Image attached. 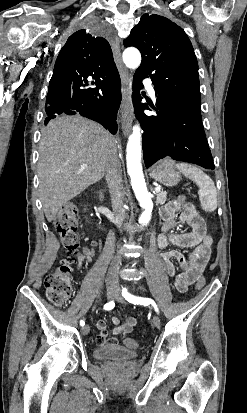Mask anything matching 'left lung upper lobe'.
Here are the masks:
<instances>
[{
	"mask_svg": "<svg viewBox=\"0 0 247 413\" xmlns=\"http://www.w3.org/2000/svg\"><path fill=\"white\" fill-rule=\"evenodd\" d=\"M124 46L140 50L142 62L136 73L150 77L157 94L201 106L197 59L181 27L163 16L144 14Z\"/></svg>",
	"mask_w": 247,
	"mask_h": 413,
	"instance_id": "obj_1",
	"label": "left lung upper lobe"
}]
</instances>
